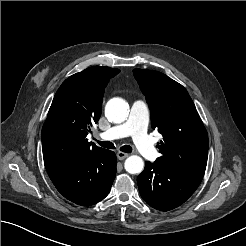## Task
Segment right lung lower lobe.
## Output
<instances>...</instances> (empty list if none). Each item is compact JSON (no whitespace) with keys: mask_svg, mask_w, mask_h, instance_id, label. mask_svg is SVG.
Here are the masks:
<instances>
[{"mask_svg":"<svg viewBox=\"0 0 246 246\" xmlns=\"http://www.w3.org/2000/svg\"><path fill=\"white\" fill-rule=\"evenodd\" d=\"M114 152L105 150L58 163L47 172L57 190L68 200L90 206L104 199L116 174Z\"/></svg>","mask_w":246,"mask_h":246,"instance_id":"98d812e1","label":"right lung lower lobe"}]
</instances>
